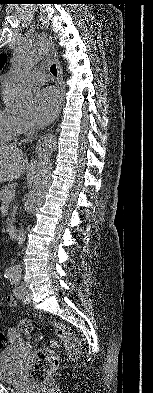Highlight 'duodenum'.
<instances>
[{
  "label": "duodenum",
  "instance_id": "obj_1",
  "mask_svg": "<svg viewBox=\"0 0 153 393\" xmlns=\"http://www.w3.org/2000/svg\"><path fill=\"white\" fill-rule=\"evenodd\" d=\"M17 232H18V229H17V226L15 224H12V225H10L8 227V233H9V236L11 238H16L17 237Z\"/></svg>",
  "mask_w": 153,
  "mask_h": 393
}]
</instances>
